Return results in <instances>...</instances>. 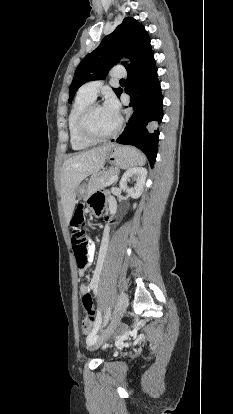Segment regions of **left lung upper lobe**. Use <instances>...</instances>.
Instances as JSON below:
<instances>
[{"instance_id": "5c2ea615", "label": "left lung upper lobe", "mask_w": 233, "mask_h": 414, "mask_svg": "<svg viewBox=\"0 0 233 414\" xmlns=\"http://www.w3.org/2000/svg\"><path fill=\"white\" fill-rule=\"evenodd\" d=\"M152 53L150 38L144 26L131 17L125 18L77 67L70 85L69 103L82 84L105 78L107 72L118 61V56L130 58L131 64L126 65L127 72H130ZM113 90L117 96L121 91L120 88Z\"/></svg>"}]
</instances>
